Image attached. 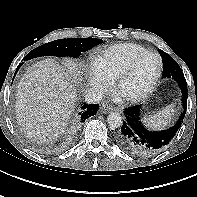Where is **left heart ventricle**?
I'll list each match as a JSON object with an SVG mask.
<instances>
[{
	"label": "left heart ventricle",
	"mask_w": 197,
	"mask_h": 197,
	"mask_svg": "<svg viewBox=\"0 0 197 197\" xmlns=\"http://www.w3.org/2000/svg\"><path fill=\"white\" fill-rule=\"evenodd\" d=\"M158 70V60L155 56L143 58L135 66L131 75L122 87V92L127 95H135L144 91Z\"/></svg>",
	"instance_id": "b2bd125f"
}]
</instances>
